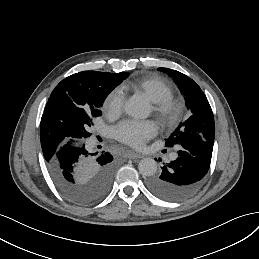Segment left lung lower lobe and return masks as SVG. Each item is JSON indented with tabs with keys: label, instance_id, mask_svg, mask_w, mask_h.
Instances as JSON below:
<instances>
[{
	"label": "left lung lower lobe",
	"instance_id": "1",
	"mask_svg": "<svg viewBox=\"0 0 259 259\" xmlns=\"http://www.w3.org/2000/svg\"><path fill=\"white\" fill-rule=\"evenodd\" d=\"M213 144L198 133H188L187 139L178 146V158L165 164L159 175L148 179V189L168 201L189 197L209 170Z\"/></svg>",
	"mask_w": 259,
	"mask_h": 259
}]
</instances>
